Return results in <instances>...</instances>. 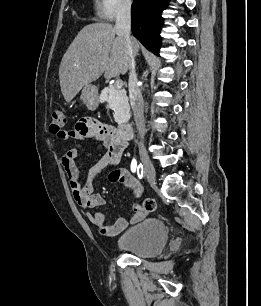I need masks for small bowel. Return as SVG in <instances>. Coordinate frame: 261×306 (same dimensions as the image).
Instances as JSON below:
<instances>
[{"mask_svg": "<svg viewBox=\"0 0 261 306\" xmlns=\"http://www.w3.org/2000/svg\"><path fill=\"white\" fill-rule=\"evenodd\" d=\"M62 139H77L85 141H97L103 150L99 160L91 167L87 181L82 184L81 172L76 165L78 150L69 149L62 157V165L68 177L72 195L76 203L86 210V217L90 223L95 225L99 232L104 236H115L124 231L129 223L139 221L145 216V210L142 205L137 203L132 207V216L129 220L118 218L115 222L108 224L106 215L102 212L93 213L91 210L104 204V199L100 194L93 193L96 177L105 169L119 164L122 155L126 150L129 140L122 138L119 133L111 126L104 125L96 120L82 119L73 129L65 130ZM115 171H121L126 179L121 182H113L111 174ZM113 171L109 179L113 183L127 184L129 174L125 170Z\"/></svg>", "mask_w": 261, "mask_h": 306, "instance_id": "small-bowel-1", "label": "small bowel"}]
</instances>
